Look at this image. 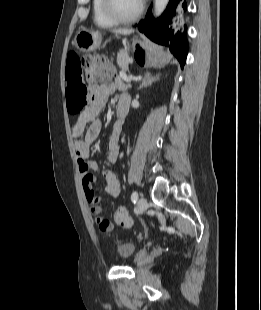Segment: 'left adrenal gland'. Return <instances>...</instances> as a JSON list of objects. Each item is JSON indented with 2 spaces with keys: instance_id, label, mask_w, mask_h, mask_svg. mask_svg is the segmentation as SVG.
Returning <instances> with one entry per match:
<instances>
[{
  "instance_id": "obj_1",
  "label": "left adrenal gland",
  "mask_w": 261,
  "mask_h": 310,
  "mask_svg": "<svg viewBox=\"0 0 261 310\" xmlns=\"http://www.w3.org/2000/svg\"><path fill=\"white\" fill-rule=\"evenodd\" d=\"M160 75H161L160 73H158L154 76L151 75L150 73L144 74V77L141 80V83L137 89L140 90L143 87H147V86L151 85L153 82L157 81L160 78Z\"/></svg>"
}]
</instances>
